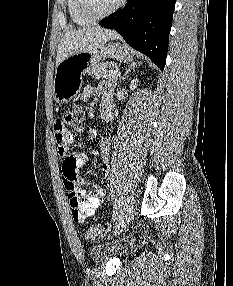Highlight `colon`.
<instances>
[{
	"instance_id": "obj_1",
	"label": "colon",
	"mask_w": 233,
	"mask_h": 286,
	"mask_svg": "<svg viewBox=\"0 0 233 286\" xmlns=\"http://www.w3.org/2000/svg\"><path fill=\"white\" fill-rule=\"evenodd\" d=\"M83 119L84 112L80 106H73L63 113L64 123L75 130L81 129ZM69 200L70 205L73 208L80 207L82 204V200L77 196L75 192L69 193ZM108 229L109 227L106 224L93 225L85 230L84 236L89 241H95L100 237L104 236L107 233Z\"/></svg>"
}]
</instances>
